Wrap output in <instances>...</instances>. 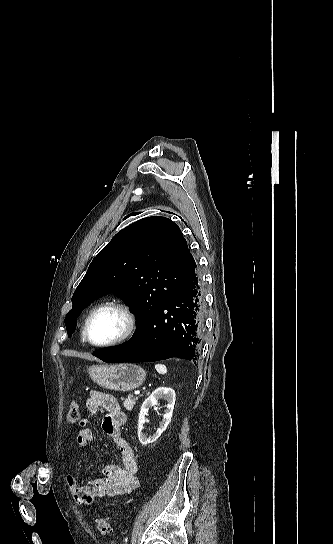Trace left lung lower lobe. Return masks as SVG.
Returning <instances> with one entry per match:
<instances>
[{"mask_svg":"<svg viewBox=\"0 0 333 544\" xmlns=\"http://www.w3.org/2000/svg\"><path fill=\"white\" fill-rule=\"evenodd\" d=\"M203 327V285L196 267L171 297L137 326L128 342L113 349L95 351L93 355L109 363L152 362L171 357L195 361Z\"/></svg>","mask_w":333,"mask_h":544,"instance_id":"1","label":"left lung lower lobe"}]
</instances>
